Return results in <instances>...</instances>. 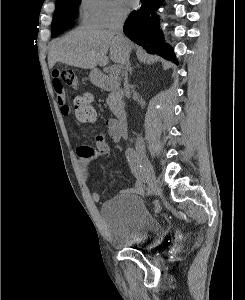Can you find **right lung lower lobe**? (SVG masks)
I'll return each instance as SVG.
<instances>
[{"mask_svg":"<svg viewBox=\"0 0 245 300\" xmlns=\"http://www.w3.org/2000/svg\"><path fill=\"white\" fill-rule=\"evenodd\" d=\"M163 0H141L142 6L133 11L124 24V34L133 42L141 45L148 53L158 54L176 64L177 60L172 48L163 43L159 30V17L156 8ZM73 27V23L64 26L61 32Z\"/></svg>","mask_w":245,"mask_h":300,"instance_id":"obj_1","label":"right lung lower lobe"}]
</instances>
